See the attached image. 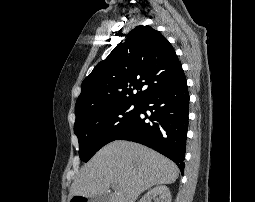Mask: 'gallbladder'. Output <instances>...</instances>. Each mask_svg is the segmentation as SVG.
Listing matches in <instances>:
<instances>
[{"instance_id": "bac80fb5", "label": "gallbladder", "mask_w": 255, "mask_h": 202, "mask_svg": "<svg viewBox=\"0 0 255 202\" xmlns=\"http://www.w3.org/2000/svg\"><path fill=\"white\" fill-rule=\"evenodd\" d=\"M90 202H109V195L101 194L91 198Z\"/></svg>"}]
</instances>
